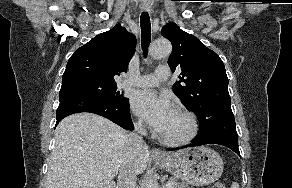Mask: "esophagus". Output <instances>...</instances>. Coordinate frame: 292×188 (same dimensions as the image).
<instances>
[{
  "instance_id": "obj_1",
  "label": "esophagus",
  "mask_w": 292,
  "mask_h": 188,
  "mask_svg": "<svg viewBox=\"0 0 292 188\" xmlns=\"http://www.w3.org/2000/svg\"><path fill=\"white\" fill-rule=\"evenodd\" d=\"M142 10L143 11H147V12H150L151 11V7L148 3H144L142 5ZM151 155L154 156V157H165V154L160 150V149H157V148H154L151 150Z\"/></svg>"
}]
</instances>
